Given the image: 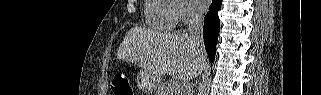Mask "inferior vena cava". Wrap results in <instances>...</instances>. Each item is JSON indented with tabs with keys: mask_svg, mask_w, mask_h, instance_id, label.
I'll return each instance as SVG.
<instances>
[{
	"mask_svg": "<svg viewBox=\"0 0 321 95\" xmlns=\"http://www.w3.org/2000/svg\"><path fill=\"white\" fill-rule=\"evenodd\" d=\"M188 36L198 52L204 51L203 16L201 12L195 10H191L189 12ZM196 76L197 75L193 76L192 78ZM193 92L194 84L188 83L184 88V95H193Z\"/></svg>",
	"mask_w": 321,
	"mask_h": 95,
	"instance_id": "1",
	"label": "inferior vena cava"
}]
</instances>
